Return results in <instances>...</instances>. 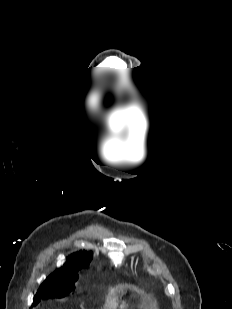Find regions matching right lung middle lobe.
Wrapping results in <instances>:
<instances>
[{
  "label": "right lung middle lobe",
  "mask_w": 232,
  "mask_h": 309,
  "mask_svg": "<svg viewBox=\"0 0 232 309\" xmlns=\"http://www.w3.org/2000/svg\"><path fill=\"white\" fill-rule=\"evenodd\" d=\"M74 289V282L43 283L36 295L32 306H36L42 299L58 298L68 295ZM65 297V296H64Z\"/></svg>",
  "instance_id": "1"
}]
</instances>
